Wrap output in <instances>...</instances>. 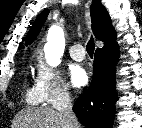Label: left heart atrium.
Here are the masks:
<instances>
[{
    "instance_id": "left-heart-atrium-1",
    "label": "left heart atrium",
    "mask_w": 142,
    "mask_h": 128,
    "mask_svg": "<svg viewBox=\"0 0 142 128\" xmlns=\"http://www.w3.org/2000/svg\"><path fill=\"white\" fill-rule=\"evenodd\" d=\"M70 82L75 87H83L87 84L88 76L86 71L79 65H72L69 68Z\"/></svg>"
}]
</instances>
